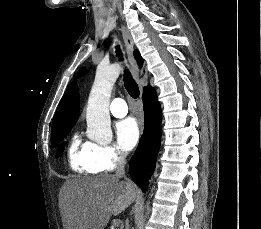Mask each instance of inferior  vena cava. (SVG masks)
Returning <instances> with one entry per match:
<instances>
[{"label": "inferior vena cava", "mask_w": 261, "mask_h": 229, "mask_svg": "<svg viewBox=\"0 0 261 229\" xmlns=\"http://www.w3.org/2000/svg\"><path fill=\"white\" fill-rule=\"evenodd\" d=\"M114 177H118V179H121V177H125V159L124 157H120L116 163V173Z\"/></svg>", "instance_id": "obj_1"}]
</instances>
